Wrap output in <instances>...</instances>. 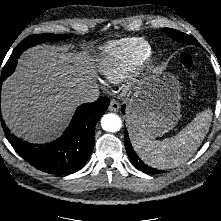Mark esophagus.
<instances>
[{
    "instance_id": "obj_1",
    "label": "esophagus",
    "mask_w": 221,
    "mask_h": 221,
    "mask_svg": "<svg viewBox=\"0 0 221 221\" xmlns=\"http://www.w3.org/2000/svg\"><path fill=\"white\" fill-rule=\"evenodd\" d=\"M109 110L112 112H117L119 110V103L115 100H111Z\"/></svg>"
}]
</instances>
